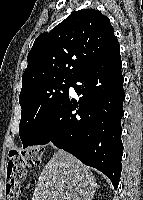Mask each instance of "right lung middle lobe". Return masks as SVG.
I'll list each match as a JSON object with an SVG mask.
<instances>
[{"instance_id":"1","label":"right lung middle lobe","mask_w":143,"mask_h":200,"mask_svg":"<svg viewBox=\"0 0 143 200\" xmlns=\"http://www.w3.org/2000/svg\"><path fill=\"white\" fill-rule=\"evenodd\" d=\"M71 79L45 81L20 92L22 108L19 135L23 148L29 146L41 126L68 94Z\"/></svg>"}]
</instances>
